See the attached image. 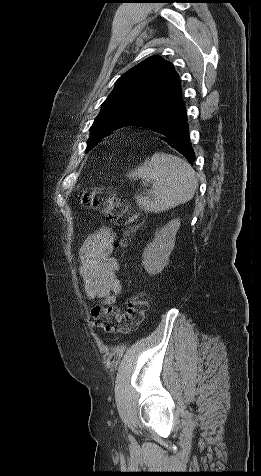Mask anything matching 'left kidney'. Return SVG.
Listing matches in <instances>:
<instances>
[{
  "label": "left kidney",
  "mask_w": 261,
  "mask_h": 476,
  "mask_svg": "<svg viewBox=\"0 0 261 476\" xmlns=\"http://www.w3.org/2000/svg\"><path fill=\"white\" fill-rule=\"evenodd\" d=\"M179 227V219L169 221L155 234L153 241L144 250L142 265L150 275L160 273L168 263Z\"/></svg>",
  "instance_id": "left-kidney-1"
}]
</instances>
